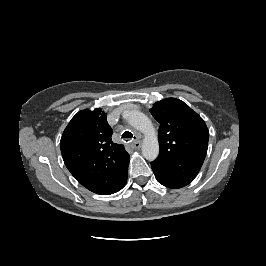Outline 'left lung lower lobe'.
I'll list each match as a JSON object with an SVG mask.
<instances>
[{"instance_id": "left-lung-lower-lobe-1", "label": "left lung lower lobe", "mask_w": 266, "mask_h": 266, "mask_svg": "<svg viewBox=\"0 0 266 266\" xmlns=\"http://www.w3.org/2000/svg\"><path fill=\"white\" fill-rule=\"evenodd\" d=\"M156 179L158 180V182H159L160 184H162V185H164V186H166V187H168V188H174V189H176V188L184 187V186H182V185H177V184H174V183H170V182L164 181V180H162V179H158V178H156Z\"/></svg>"}]
</instances>
